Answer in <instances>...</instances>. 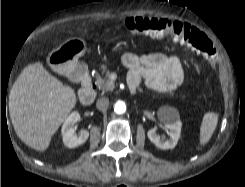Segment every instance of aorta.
<instances>
[{"label":"aorta","instance_id":"762f6f07","mask_svg":"<svg viewBox=\"0 0 245 187\" xmlns=\"http://www.w3.org/2000/svg\"><path fill=\"white\" fill-rule=\"evenodd\" d=\"M114 111L117 113V114H122L126 111V104L123 102V101H118L116 104H115V107H114Z\"/></svg>","mask_w":245,"mask_h":187}]
</instances>
